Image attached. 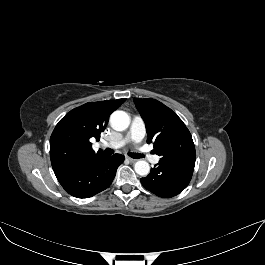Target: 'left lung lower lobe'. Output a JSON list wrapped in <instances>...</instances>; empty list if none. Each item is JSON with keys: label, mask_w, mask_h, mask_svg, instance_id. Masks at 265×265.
I'll list each match as a JSON object with an SVG mask.
<instances>
[{"label": "left lung lower lobe", "mask_w": 265, "mask_h": 265, "mask_svg": "<svg viewBox=\"0 0 265 265\" xmlns=\"http://www.w3.org/2000/svg\"><path fill=\"white\" fill-rule=\"evenodd\" d=\"M194 166L195 162H159L150 174L140 181L147 190L157 196L170 198L188 186Z\"/></svg>", "instance_id": "1"}]
</instances>
